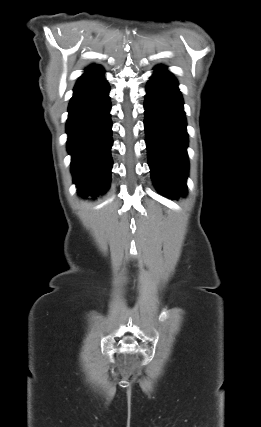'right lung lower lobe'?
Instances as JSON below:
<instances>
[{"instance_id": "98d812e1", "label": "right lung lower lobe", "mask_w": 261, "mask_h": 427, "mask_svg": "<svg viewBox=\"0 0 261 427\" xmlns=\"http://www.w3.org/2000/svg\"><path fill=\"white\" fill-rule=\"evenodd\" d=\"M109 85L100 66L79 78L70 101L66 125L71 171L81 196H94L110 184L112 146Z\"/></svg>"}]
</instances>
